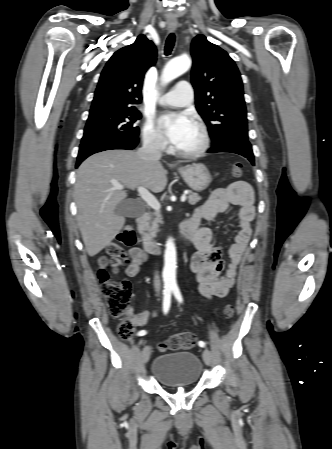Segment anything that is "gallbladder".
I'll use <instances>...</instances> for the list:
<instances>
[{
    "label": "gallbladder",
    "mask_w": 332,
    "mask_h": 449,
    "mask_svg": "<svg viewBox=\"0 0 332 449\" xmlns=\"http://www.w3.org/2000/svg\"><path fill=\"white\" fill-rule=\"evenodd\" d=\"M115 212L124 217L134 218L140 216L143 209L135 200L125 199L116 206Z\"/></svg>",
    "instance_id": "bac80fb5"
}]
</instances>
